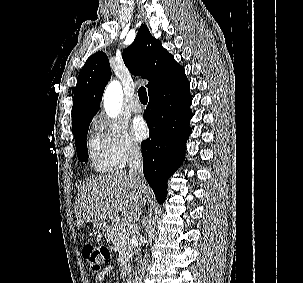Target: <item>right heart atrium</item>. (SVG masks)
Masks as SVG:
<instances>
[{"label":"right heart atrium","mask_w":303,"mask_h":283,"mask_svg":"<svg viewBox=\"0 0 303 283\" xmlns=\"http://www.w3.org/2000/svg\"><path fill=\"white\" fill-rule=\"evenodd\" d=\"M99 148L114 166H124L141 152L127 126L116 119L99 117L94 121Z\"/></svg>","instance_id":"right-heart-atrium-1"}]
</instances>
